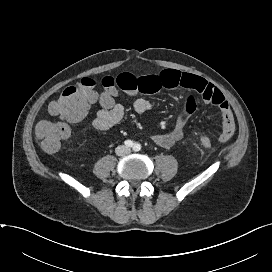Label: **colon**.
Here are the masks:
<instances>
[{"instance_id": "colon-1", "label": "colon", "mask_w": 272, "mask_h": 272, "mask_svg": "<svg viewBox=\"0 0 272 272\" xmlns=\"http://www.w3.org/2000/svg\"><path fill=\"white\" fill-rule=\"evenodd\" d=\"M102 91L96 90V82L89 77H84L75 84L65 88L60 95L49 104L48 112L58 116L64 121L44 120L37 124L36 135L41 140V146L48 153L56 152L61 144L70 136L68 123L82 119L90 106L99 102L103 107H110L115 103L117 84L115 78L104 77L101 80ZM200 145L204 148L212 146L208 136L200 138Z\"/></svg>"}]
</instances>
